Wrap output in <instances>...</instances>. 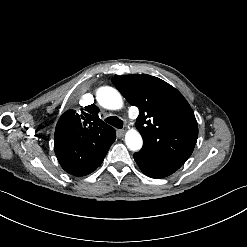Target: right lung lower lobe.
<instances>
[{
	"label": "right lung lower lobe",
	"instance_id": "obj_1",
	"mask_svg": "<svg viewBox=\"0 0 247 247\" xmlns=\"http://www.w3.org/2000/svg\"><path fill=\"white\" fill-rule=\"evenodd\" d=\"M106 156V155H105ZM104 156V157H105ZM104 157L98 159L97 161H93L91 163H85L80 166L72 165L67 168H63L66 172L74 176H85L95 171L97 167L101 165L104 160Z\"/></svg>",
	"mask_w": 247,
	"mask_h": 247
}]
</instances>
